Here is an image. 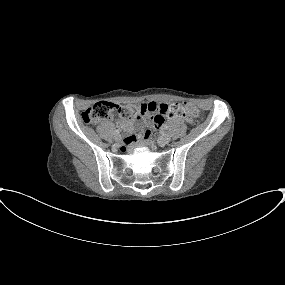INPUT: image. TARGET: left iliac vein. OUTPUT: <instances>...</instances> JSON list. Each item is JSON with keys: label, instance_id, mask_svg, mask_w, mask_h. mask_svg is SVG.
Returning a JSON list of instances; mask_svg holds the SVG:
<instances>
[{"label": "left iliac vein", "instance_id": "left-iliac-vein-1", "mask_svg": "<svg viewBox=\"0 0 285 285\" xmlns=\"http://www.w3.org/2000/svg\"><path fill=\"white\" fill-rule=\"evenodd\" d=\"M170 139H171L170 135L166 133V134H163V135L159 138V142H160L161 144H168L169 141H170Z\"/></svg>", "mask_w": 285, "mask_h": 285}]
</instances>
